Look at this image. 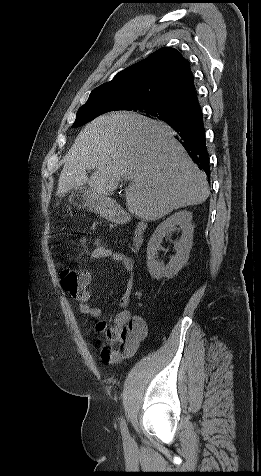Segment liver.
I'll return each mask as SVG.
<instances>
[{"label": "liver", "instance_id": "6515ba94", "mask_svg": "<svg viewBox=\"0 0 261 476\" xmlns=\"http://www.w3.org/2000/svg\"><path fill=\"white\" fill-rule=\"evenodd\" d=\"M172 129L132 112L97 117L78 134L64 158L57 195L88 184L107 196L120 178L132 181L126 190L131 214L158 220L174 209L202 204L210 191L199 170ZM94 169L88 178L87 170Z\"/></svg>", "mask_w": 261, "mask_h": 476}]
</instances>
